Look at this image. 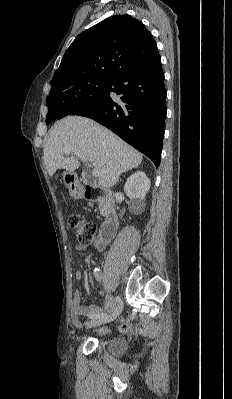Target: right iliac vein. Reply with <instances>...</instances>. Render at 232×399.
Returning a JSON list of instances; mask_svg holds the SVG:
<instances>
[{
    "label": "right iliac vein",
    "instance_id": "63e3f726",
    "mask_svg": "<svg viewBox=\"0 0 232 399\" xmlns=\"http://www.w3.org/2000/svg\"><path fill=\"white\" fill-rule=\"evenodd\" d=\"M125 306V301L121 300L118 303L117 308H115V311H113V314L111 316L107 315H102L98 319H95L94 321H86L87 325L86 326H100L102 324L109 323L111 322V319H118V316H120V313H122V310L124 309Z\"/></svg>",
    "mask_w": 232,
    "mask_h": 399
}]
</instances>
